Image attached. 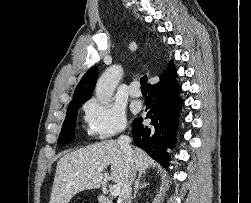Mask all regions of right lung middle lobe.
<instances>
[{"instance_id":"1","label":"right lung middle lobe","mask_w":251,"mask_h":203,"mask_svg":"<svg viewBox=\"0 0 251 203\" xmlns=\"http://www.w3.org/2000/svg\"><path fill=\"white\" fill-rule=\"evenodd\" d=\"M83 102L70 104L67 110L66 118L59 135L58 143L71 142L74 139L75 122L78 114V109Z\"/></svg>"}]
</instances>
